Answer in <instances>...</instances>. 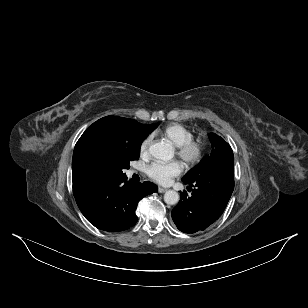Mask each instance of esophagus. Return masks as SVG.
<instances>
[{"instance_id":"obj_1","label":"esophagus","mask_w":308,"mask_h":308,"mask_svg":"<svg viewBox=\"0 0 308 308\" xmlns=\"http://www.w3.org/2000/svg\"><path fill=\"white\" fill-rule=\"evenodd\" d=\"M166 191H167L166 188H163V187H159V188H158V192H159V193H164V192H166Z\"/></svg>"}]
</instances>
